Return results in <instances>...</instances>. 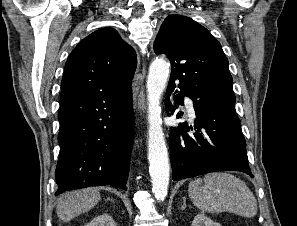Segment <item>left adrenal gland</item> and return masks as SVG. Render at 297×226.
Instances as JSON below:
<instances>
[{
  "label": "left adrenal gland",
  "instance_id": "obj_1",
  "mask_svg": "<svg viewBox=\"0 0 297 226\" xmlns=\"http://www.w3.org/2000/svg\"><path fill=\"white\" fill-rule=\"evenodd\" d=\"M186 207H187V205H186V198L183 197V205H182L181 209L183 210V209H185Z\"/></svg>",
  "mask_w": 297,
  "mask_h": 226
}]
</instances>
